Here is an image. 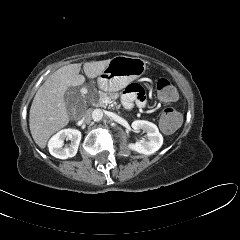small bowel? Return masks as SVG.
Wrapping results in <instances>:
<instances>
[{
    "label": "small bowel",
    "mask_w": 240,
    "mask_h": 240,
    "mask_svg": "<svg viewBox=\"0 0 240 240\" xmlns=\"http://www.w3.org/2000/svg\"><path fill=\"white\" fill-rule=\"evenodd\" d=\"M122 102L126 108H132L134 104L144 108L146 106V95L139 84H129L122 95Z\"/></svg>",
    "instance_id": "small-bowel-1"
}]
</instances>
